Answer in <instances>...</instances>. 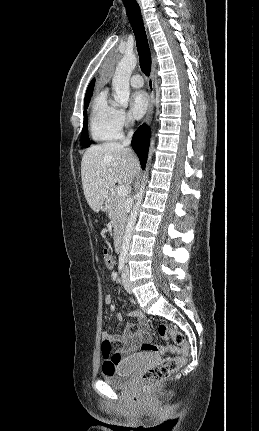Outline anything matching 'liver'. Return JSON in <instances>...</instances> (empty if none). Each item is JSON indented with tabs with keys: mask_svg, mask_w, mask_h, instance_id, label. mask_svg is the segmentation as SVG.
<instances>
[{
	"mask_svg": "<svg viewBox=\"0 0 259 431\" xmlns=\"http://www.w3.org/2000/svg\"><path fill=\"white\" fill-rule=\"evenodd\" d=\"M139 170L136 155L120 143L109 142L89 147L82 157L81 179L91 209L98 212L114 185L117 182L130 184Z\"/></svg>",
	"mask_w": 259,
	"mask_h": 431,
	"instance_id": "6515ba94",
	"label": "liver"
}]
</instances>
